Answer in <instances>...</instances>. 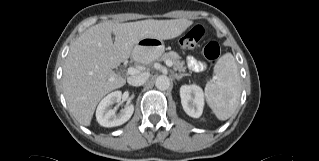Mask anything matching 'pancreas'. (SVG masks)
<instances>
[{"label": "pancreas", "instance_id": "1", "mask_svg": "<svg viewBox=\"0 0 319 161\" xmlns=\"http://www.w3.org/2000/svg\"><path fill=\"white\" fill-rule=\"evenodd\" d=\"M161 60L163 61H171L172 62V66L173 69L175 71H179V72H185L186 67H184L185 62L181 60V57L174 51H170L167 53H164L161 57Z\"/></svg>", "mask_w": 319, "mask_h": 161}]
</instances>
